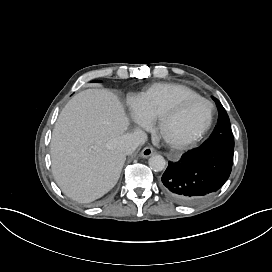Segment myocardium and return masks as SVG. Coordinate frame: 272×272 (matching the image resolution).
<instances>
[{
	"label": "myocardium",
	"instance_id": "1",
	"mask_svg": "<svg viewBox=\"0 0 272 272\" xmlns=\"http://www.w3.org/2000/svg\"><path fill=\"white\" fill-rule=\"evenodd\" d=\"M193 101L203 102L208 108V116H207V120L205 124L201 126L199 129L191 133H179L174 131V133L170 134L169 133L170 124L168 120V114H164L162 116L161 129L163 133L165 134V136L171 137L175 141V143L178 145H186L198 139L205 132H207L210 126L212 125V122L214 119V113H215L214 104L210 100H208L207 98L201 95H193V96L182 98L173 108L172 113H174V117L182 113L185 110V108Z\"/></svg>",
	"mask_w": 272,
	"mask_h": 272
}]
</instances>
